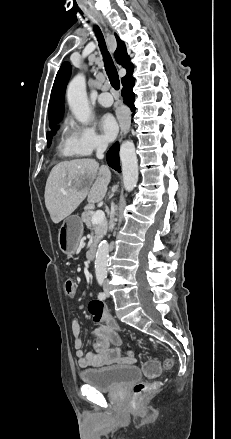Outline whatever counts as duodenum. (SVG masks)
Masks as SVG:
<instances>
[{
	"instance_id": "410a0bca",
	"label": "duodenum",
	"mask_w": 231,
	"mask_h": 439,
	"mask_svg": "<svg viewBox=\"0 0 231 439\" xmlns=\"http://www.w3.org/2000/svg\"><path fill=\"white\" fill-rule=\"evenodd\" d=\"M96 254H97V246L96 245L90 246V248L87 250L86 253L87 260L93 261L96 258Z\"/></svg>"
}]
</instances>
